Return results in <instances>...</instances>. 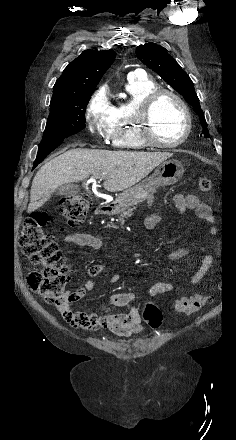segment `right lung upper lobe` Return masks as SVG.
<instances>
[{
	"label": "right lung upper lobe",
	"instance_id": "right-lung-upper-lobe-1",
	"mask_svg": "<svg viewBox=\"0 0 236 440\" xmlns=\"http://www.w3.org/2000/svg\"><path fill=\"white\" fill-rule=\"evenodd\" d=\"M113 50H86L63 71L53 88L51 103L68 101L93 93L100 79L111 66Z\"/></svg>",
	"mask_w": 236,
	"mask_h": 440
}]
</instances>
